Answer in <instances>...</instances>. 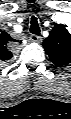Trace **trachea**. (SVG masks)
I'll list each match as a JSON object with an SVG mask.
<instances>
[{
  "mask_svg": "<svg viewBox=\"0 0 71 119\" xmlns=\"http://www.w3.org/2000/svg\"><path fill=\"white\" fill-rule=\"evenodd\" d=\"M30 32L35 35L40 34V27L38 25V20L35 16L31 17V27H30Z\"/></svg>",
  "mask_w": 71,
  "mask_h": 119,
  "instance_id": "obj_1",
  "label": "trachea"
}]
</instances>
